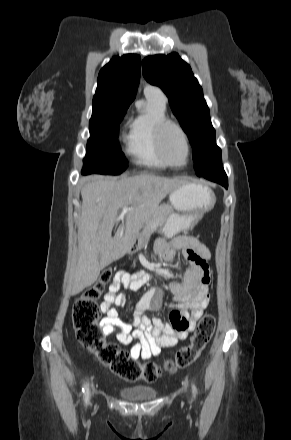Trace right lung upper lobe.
<instances>
[{"label": "right lung upper lobe", "mask_w": 291, "mask_h": 440, "mask_svg": "<svg viewBox=\"0 0 291 440\" xmlns=\"http://www.w3.org/2000/svg\"><path fill=\"white\" fill-rule=\"evenodd\" d=\"M141 58L137 54L113 57L99 72L93 106H129L140 80Z\"/></svg>", "instance_id": "obj_1"}]
</instances>
